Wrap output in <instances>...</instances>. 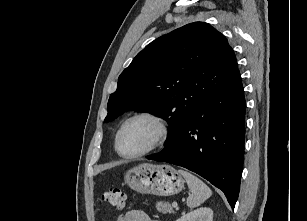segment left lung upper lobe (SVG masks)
I'll use <instances>...</instances> for the list:
<instances>
[{
	"mask_svg": "<svg viewBox=\"0 0 307 221\" xmlns=\"http://www.w3.org/2000/svg\"><path fill=\"white\" fill-rule=\"evenodd\" d=\"M237 68L227 39L208 23L194 22L163 35L139 52L118 78L105 122L128 110L164 118L172 132L218 91Z\"/></svg>",
	"mask_w": 307,
	"mask_h": 221,
	"instance_id": "left-lung-upper-lobe-1",
	"label": "left lung upper lobe"
}]
</instances>
